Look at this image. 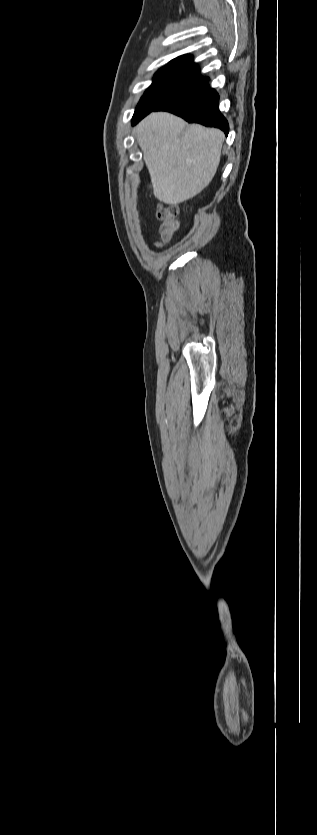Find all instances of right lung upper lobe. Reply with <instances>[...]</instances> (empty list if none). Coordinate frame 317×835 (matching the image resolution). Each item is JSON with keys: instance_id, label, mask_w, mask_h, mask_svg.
<instances>
[{"instance_id": "obj_1", "label": "right lung upper lobe", "mask_w": 317, "mask_h": 835, "mask_svg": "<svg viewBox=\"0 0 317 835\" xmlns=\"http://www.w3.org/2000/svg\"><path fill=\"white\" fill-rule=\"evenodd\" d=\"M191 58L192 57L189 56V55H183V56L177 57L176 59L171 60L169 62V64L176 63V62H181V61H189Z\"/></svg>"}]
</instances>
